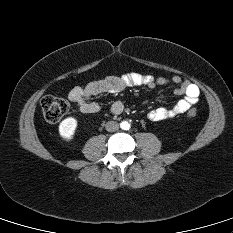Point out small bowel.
Listing matches in <instances>:
<instances>
[{
    "mask_svg": "<svg viewBox=\"0 0 233 233\" xmlns=\"http://www.w3.org/2000/svg\"><path fill=\"white\" fill-rule=\"evenodd\" d=\"M168 83L175 84V93L184 97L171 108L159 107L148 113L150 120L162 121L187 112L198 102L200 90L196 84L182 80L179 76L155 78L148 74L128 73L122 76H109L102 80L89 82L84 86H77L69 92L68 98L82 113H97L101 110V106L91 100L95 95L117 93L130 86H145L152 89ZM123 109V103L117 101L111 105L110 112L113 115H118L122 113Z\"/></svg>",
    "mask_w": 233,
    "mask_h": 233,
    "instance_id": "1",
    "label": "small bowel"
}]
</instances>
